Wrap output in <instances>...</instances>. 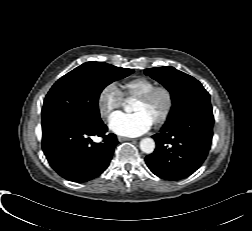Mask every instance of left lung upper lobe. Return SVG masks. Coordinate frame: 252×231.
I'll return each mask as SVG.
<instances>
[{
    "mask_svg": "<svg viewBox=\"0 0 252 231\" xmlns=\"http://www.w3.org/2000/svg\"><path fill=\"white\" fill-rule=\"evenodd\" d=\"M145 74L161 83L171 93L173 106L167 123L188 110L212 108L209 93L192 76L170 66L149 68L145 70Z\"/></svg>",
    "mask_w": 252,
    "mask_h": 231,
    "instance_id": "1",
    "label": "left lung upper lobe"
}]
</instances>
